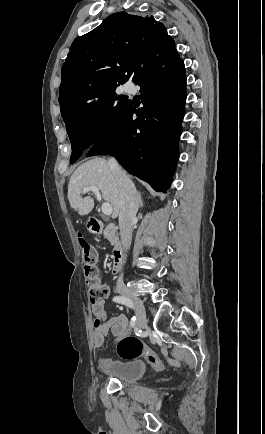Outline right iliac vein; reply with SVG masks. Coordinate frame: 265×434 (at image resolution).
Returning <instances> with one entry per match:
<instances>
[{
	"instance_id": "1",
	"label": "right iliac vein",
	"mask_w": 265,
	"mask_h": 434,
	"mask_svg": "<svg viewBox=\"0 0 265 434\" xmlns=\"http://www.w3.org/2000/svg\"><path fill=\"white\" fill-rule=\"evenodd\" d=\"M117 291L131 301L135 314H136V327L138 329L142 328L146 323V311L143 305V302L138 298L135 294L131 293L126 287L118 286Z\"/></svg>"
}]
</instances>
